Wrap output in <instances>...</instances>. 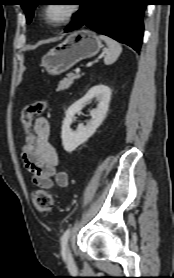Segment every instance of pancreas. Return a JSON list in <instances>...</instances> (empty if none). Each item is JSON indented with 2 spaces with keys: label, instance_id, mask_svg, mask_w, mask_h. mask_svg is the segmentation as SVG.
<instances>
[{
  "label": "pancreas",
  "instance_id": "cf45deb5",
  "mask_svg": "<svg viewBox=\"0 0 174 278\" xmlns=\"http://www.w3.org/2000/svg\"><path fill=\"white\" fill-rule=\"evenodd\" d=\"M81 75L79 74H73L69 73L67 74V77L61 80L58 84L57 91H63L65 89H68L74 82L75 79L80 78Z\"/></svg>",
  "mask_w": 174,
  "mask_h": 278
}]
</instances>
